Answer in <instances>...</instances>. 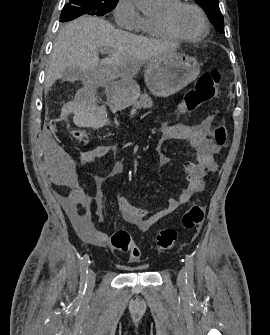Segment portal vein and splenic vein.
<instances>
[{
    "mask_svg": "<svg viewBox=\"0 0 270 335\" xmlns=\"http://www.w3.org/2000/svg\"><path fill=\"white\" fill-rule=\"evenodd\" d=\"M106 52H107V49L105 47H102L100 49V54H106ZM102 64H112V62H109V60H106L105 58V60H102Z\"/></svg>",
    "mask_w": 270,
    "mask_h": 335,
    "instance_id": "portal-vein-and-splenic-vein-1",
    "label": "portal vein and splenic vein"
}]
</instances>
